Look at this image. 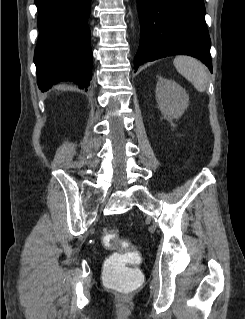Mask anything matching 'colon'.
<instances>
[{
	"instance_id": "obj_1",
	"label": "colon",
	"mask_w": 245,
	"mask_h": 319,
	"mask_svg": "<svg viewBox=\"0 0 245 319\" xmlns=\"http://www.w3.org/2000/svg\"><path fill=\"white\" fill-rule=\"evenodd\" d=\"M102 243L107 248L120 247L122 250L111 253L104 264V283L122 292L137 289L142 284V274L135 266L139 261L138 253L129 242L121 240L117 231L106 229Z\"/></svg>"
}]
</instances>
